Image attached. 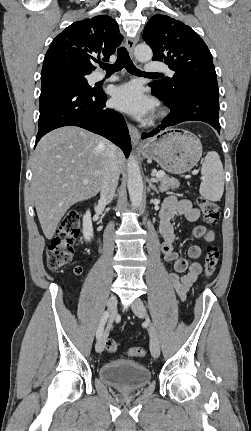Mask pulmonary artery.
<instances>
[{
  "label": "pulmonary artery",
  "instance_id": "e3ab8cb5",
  "mask_svg": "<svg viewBox=\"0 0 251 431\" xmlns=\"http://www.w3.org/2000/svg\"><path fill=\"white\" fill-rule=\"evenodd\" d=\"M145 71L148 73L161 72V71L169 72L168 68L160 62H149V63H147L146 67H145ZM103 78H104L103 75L98 76L99 80H101ZM108 80H110V81L115 80V77H110Z\"/></svg>",
  "mask_w": 251,
  "mask_h": 431
}]
</instances>
